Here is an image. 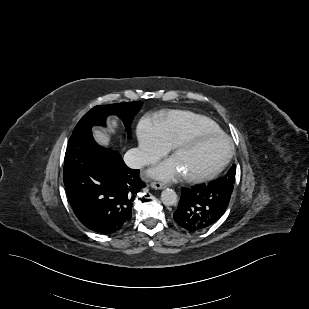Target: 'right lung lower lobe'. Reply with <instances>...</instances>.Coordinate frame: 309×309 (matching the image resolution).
<instances>
[{
	"mask_svg": "<svg viewBox=\"0 0 309 309\" xmlns=\"http://www.w3.org/2000/svg\"><path fill=\"white\" fill-rule=\"evenodd\" d=\"M63 180L77 218L101 234L128 224L135 196L145 187L139 170L128 168L118 152L95 143L91 128L70 137Z\"/></svg>",
	"mask_w": 309,
	"mask_h": 309,
	"instance_id": "1",
	"label": "right lung lower lobe"
}]
</instances>
